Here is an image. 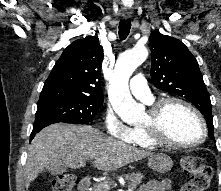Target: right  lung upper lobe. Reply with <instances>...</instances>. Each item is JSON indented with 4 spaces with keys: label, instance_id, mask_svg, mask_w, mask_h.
<instances>
[{
    "label": "right lung upper lobe",
    "instance_id": "cb5924a9",
    "mask_svg": "<svg viewBox=\"0 0 221 191\" xmlns=\"http://www.w3.org/2000/svg\"><path fill=\"white\" fill-rule=\"evenodd\" d=\"M103 48L97 37L76 40L63 51L45 81L38 102L103 99L100 84Z\"/></svg>",
    "mask_w": 221,
    "mask_h": 191
}]
</instances>
